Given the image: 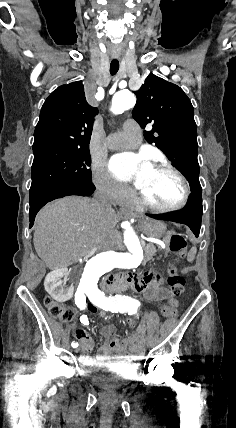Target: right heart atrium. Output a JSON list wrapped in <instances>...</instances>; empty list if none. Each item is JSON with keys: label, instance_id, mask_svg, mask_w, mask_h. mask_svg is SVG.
<instances>
[{"label": "right heart atrium", "instance_id": "d8ad5b80", "mask_svg": "<svg viewBox=\"0 0 236 428\" xmlns=\"http://www.w3.org/2000/svg\"><path fill=\"white\" fill-rule=\"evenodd\" d=\"M92 183L96 191L105 200H113L114 205H122L133 196L129 189L116 182L109 175L103 165H98L94 168Z\"/></svg>", "mask_w": 236, "mask_h": 428}]
</instances>
